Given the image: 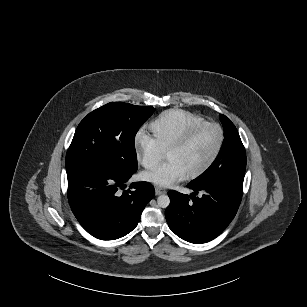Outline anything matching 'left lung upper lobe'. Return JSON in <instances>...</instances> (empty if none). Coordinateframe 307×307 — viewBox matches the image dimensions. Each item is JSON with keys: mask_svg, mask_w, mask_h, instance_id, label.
<instances>
[{"mask_svg": "<svg viewBox=\"0 0 307 307\" xmlns=\"http://www.w3.org/2000/svg\"><path fill=\"white\" fill-rule=\"evenodd\" d=\"M224 127V141L214 163L188 185L199 187L209 183L226 182L242 187L246 169V153L238 131L225 116L220 115Z\"/></svg>", "mask_w": 307, "mask_h": 307, "instance_id": "1", "label": "left lung upper lobe"}]
</instances>
